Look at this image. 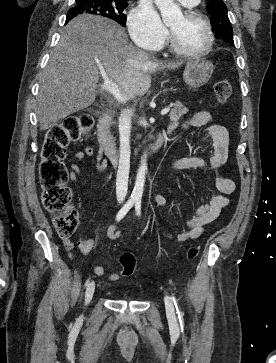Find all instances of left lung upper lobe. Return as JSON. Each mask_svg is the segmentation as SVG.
<instances>
[{
    "label": "left lung upper lobe",
    "mask_w": 276,
    "mask_h": 363,
    "mask_svg": "<svg viewBox=\"0 0 276 363\" xmlns=\"http://www.w3.org/2000/svg\"><path fill=\"white\" fill-rule=\"evenodd\" d=\"M207 12L211 16L212 31L222 36L226 42L233 44V29L223 0H211L207 5Z\"/></svg>",
    "instance_id": "obj_1"
}]
</instances>
